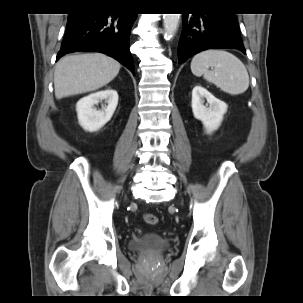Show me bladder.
<instances>
[{
  "label": "bladder",
  "instance_id": "obj_1",
  "mask_svg": "<svg viewBox=\"0 0 303 303\" xmlns=\"http://www.w3.org/2000/svg\"><path fill=\"white\" fill-rule=\"evenodd\" d=\"M171 247V243L165 237L147 231L138 237H133L128 242V248L140 253H154L167 250Z\"/></svg>",
  "mask_w": 303,
  "mask_h": 303
}]
</instances>
